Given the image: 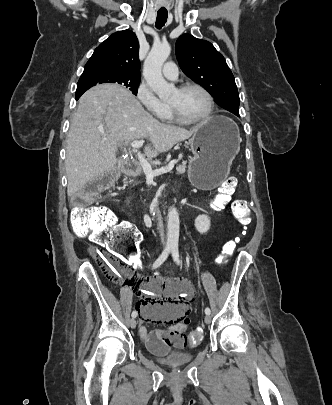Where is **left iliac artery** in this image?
Masks as SVG:
<instances>
[{"label":"left iliac artery","mask_w":332,"mask_h":405,"mask_svg":"<svg viewBox=\"0 0 332 405\" xmlns=\"http://www.w3.org/2000/svg\"><path fill=\"white\" fill-rule=\"evenodd\" d=\"M171 253H172V257H173V260L175 261V263H177L178 265H180V264H181V261H180V259H179V250H178V248H177V247H172ZM210 313H211L210 308L206 307V308H205V314H206V315H210Z\"/></svg>","instance_id":"1"}]
</instances>
